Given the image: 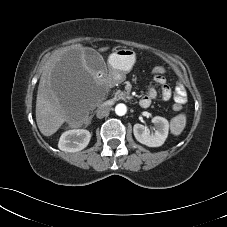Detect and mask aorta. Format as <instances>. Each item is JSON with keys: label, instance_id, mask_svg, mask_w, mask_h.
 <instances>
[{"label": "aorta", "instance_id": "1", "mask_svg": "<svg viewBox=\"0 0 227 227\" xmlns=\"http://www.w3.org/2000/svg\"><path fill=\"white\" fill-rule=\"evenodd\" d=\"M127 112V107L125 104L123 103H120V104H117L116 107H115V113L118 115V116H123L125 115Z\"/></svg>", "mask_w": 227, "mask_h": 227}]
</instances>
